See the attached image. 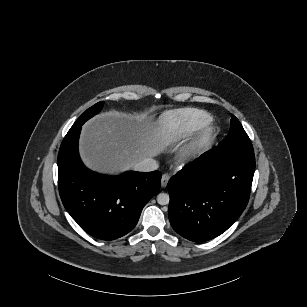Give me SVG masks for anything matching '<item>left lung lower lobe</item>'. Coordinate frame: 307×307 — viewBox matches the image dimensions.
I'll use <instances>...</instances> for the list:
<instances>
[{
	"mask_svg": "<svg viewBox=\"0 0 307 307\" xmlns=\"http://www.w3.org/2000/svg\"><path fill=\"white\" fill-rule=\"evenodd\" d=\"M255 171L253 150L213 148L168 182L169 220L184 238L203 242L225 232L242 214Z\"/></svg>",
	"mask_w": 307,
	"mask_h": 307,
	"instance_id": "1",
	"label": "left lung lower lobe"
}]
</instances>
